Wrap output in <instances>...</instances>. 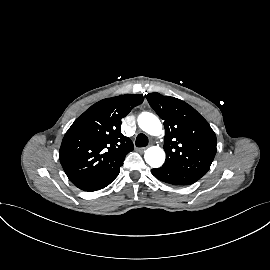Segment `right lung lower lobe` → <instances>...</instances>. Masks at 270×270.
Listing matches in <instances>:
<instances>
[{"mask_svg":"<svg viewBox=\"0 0 270 270\" xmlns=\"http://www.w3.org/2000/svg\"><path fill=\"white\" fill-rule=\"evenodd\" d=\"M120 167L113 172L98 175L74 183L78 188L84 191H96L108 186L119 174Z\"/></svg>","mask_w":270,"mask_h":270,"instance_id":"1","label":"right lung lower lobe"}]
</instances>
